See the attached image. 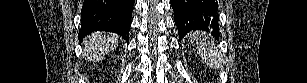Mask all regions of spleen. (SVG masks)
Returning <instances> with one entry per match:
<instances>
[{
    "label": "spleen",
    "mask_w": 307,
    "mask_h": 83,
    "mask_svg": "<svg viewBox=\"0 0 307 83\" xmlns=\"http://www.w3.org/2000/svg\"><path fill=\"white\" fill-rule=\"evenodd\" d=\"M202 38L201 33H193L190 35V39L193 41H198ZM197 51L200 55L202 61L213 69H221L222 68V55L218 50V47L214 45L213 42L200 40L197 45Z\"/></svg>",
    "instance_id": "spleen-1"
}]
</instances>
